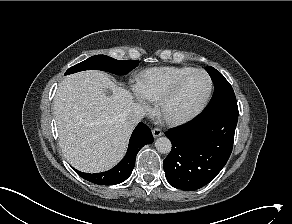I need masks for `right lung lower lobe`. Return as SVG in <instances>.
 <instances>
[{
    "instance_id": "98d812e1",
    "label": "right lung lower lobe",
    "mask_w": 292,
    "mask_h": 224,
    "mask_svg": "<svg viewBox=\"0 0 292 224\" xmlns=\"http://www.w3.org/2000/svg\"><path fill=\"white\" fill-rule=\"evenodd\" d=\"M153 142L151 130L140 122L133 131L125 157L112 169L102 173H84L74 169L85 180L98 185L122 183L130 175L135 165L136 155L145 145Z\"/></svg>"
}]
</instances>
